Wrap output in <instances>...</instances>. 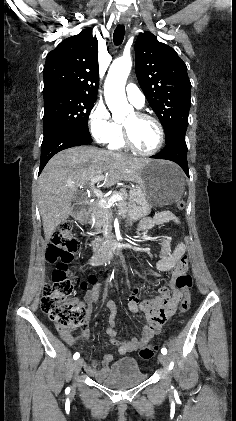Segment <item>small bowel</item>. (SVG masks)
I'll return each instance as SVG.
<instances>
[{"mask_svg": "<svg viewBox=\"0 0 236 421\" xmlns=\"http://www.w3.org/2000/svg\"><path fill=\"white\" fill-rule=\"evenodd\" d=\"M167 222H174V223H179V219L170 211H163L158 213L157 215H155L154 217H146L143 218L140 223L138 228L140 230H153L155 229L158 225L163 224V223H167ZM164 249L167 250L168 249V245H167V241L165 243ZM184 254V249L183 247H178L173 255H171L169 257V260L171 262H177ZM136 293H137V289H134L130 296H129V305L130 308L133 311H136L139 308V304H138V300L136 298ZM99 289L95 288L91 291H89L85 297L84 302L81 301H77L76 303L80 306L83 307H87L88 310L91 309L92 305L94 302L99 300ZM106 306L109 308L110 310V318H109V322L111 325V329H113V326L115 324V316H116V308L113 302H106ZM61 337L67 342V343H73L76 340V337L73 336L70 332L67 331H59ZM89 335L88 331H85L82 336L83 337H87ZM152 337V335H149L147 337L144 338V341L149 340ZM136 347V346H135ZM112 360V357L108 358L105 357L104 359V364H108L110 361ZM102 376L104 375V373L106 372V368H103L102 370ZM101 376V378H102Z\"/></svg>", "mask_w": 236, "mask_h": 421, "instance_id": "obj_1", "label": "small bowel"}]
</instances>
